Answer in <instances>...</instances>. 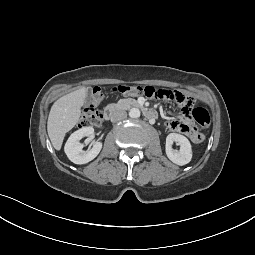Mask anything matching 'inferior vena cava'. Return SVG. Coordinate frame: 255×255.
<instances>
[{"label": "inferior vena cava", "instance_id": "602c4592", "mask_svg": "<svg viewBox=\"0 0 255 255\" xmlns=\"http://www.w3.org/2000/svg\"><path fill=\"white\" fill-rule=\"evenodd\" d=\"M127 117V113L124 110H116L111 115V121L112 122H118Z\"/></svg>", "mask_w": 255, "mask_h": 255}]
</instances>
